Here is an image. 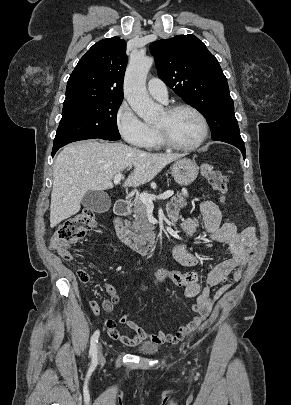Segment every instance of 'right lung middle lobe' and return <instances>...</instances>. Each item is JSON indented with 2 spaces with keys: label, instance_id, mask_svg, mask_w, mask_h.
<instances>
[{
  "label": "right lung middle lobe",
  "instance_id": "obj_1",
  "mask_svg": "<svg viewBox=\"0 0 291 405\" xmlns=\"http://www.w3.org/2000/svg\"><path fill=\"white\" fill-rule=\"evenodd\" d=\"M121 102L122 99H100L64 103L52 154L74 141L119 140L116 116Z\"/></svg>",
  "mask_w": 291,
  "mask_h": 405
}]
</instances>
